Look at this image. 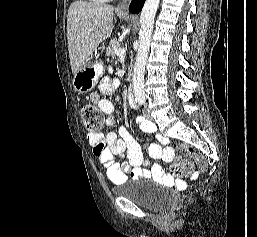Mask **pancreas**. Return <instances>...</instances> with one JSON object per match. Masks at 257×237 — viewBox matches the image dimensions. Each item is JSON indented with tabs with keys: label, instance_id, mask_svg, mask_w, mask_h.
<instances>
[{
	"label": "pancreas",
	"instance_id": "pancreas-1",
	"mask_svg": "<svg viewBox=\"0 0 257 237\" xmlns=\"http://www.w3.org/2000/svg\"><path fill=\"white\" fill-rule=\"evenodd\" d=\"M120 47V42L116 39L110 41L109 46L106 48V55L115 57V49Z\"/></svg>",
	"mask_w": 257,
	"mask_h": 237
}]
</instances>
